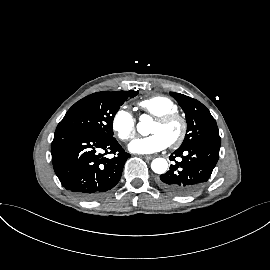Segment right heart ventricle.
Wrapping results in <instances>:
<instances>
[{
	"label": "right heart ventricle",
	"mask_w": 270,
	"mask_h": 270,
	"mask_svg": "<svg viewBox=\"0 0 270 270\" xmlns=\"http://www.w3.org/2000/svg\"><path fill=\"white\" fill-rule=\"evenodd\" d=\"M138 106L153 117L178 112L177 104L170 98L162 95L142 99L138 102Z\"/></svg>",
	"instance_id": "1"
}]
</instances>
